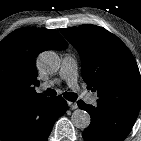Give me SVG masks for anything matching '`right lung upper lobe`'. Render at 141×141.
<instances>
[{"mask_svg":"<svg viewBox=\"0 0 141 141\" xmlns=\"http://www.w3.org/2000/svg\"><path fill=\"white\" fill-rule=\"evenodd\" d=\"M68 46L56 31L21 28L0 42V114L27 101L46 98L37 94L35 59L45 50H63Z\"/></svg>","mask_w":141,"mask_h":141,"instance_id":"cb5924a9","label":"right lung upper lobe"}]
</instances>
